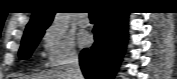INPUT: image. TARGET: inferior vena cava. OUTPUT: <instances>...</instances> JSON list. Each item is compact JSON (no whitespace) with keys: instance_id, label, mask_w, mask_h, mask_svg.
<instances>
[{"instance_id":"1","label":"inferior vena cava","mask_w":177,"mask_h":79,"mask_svg":"<svg viewBox=\"0 0 177 79\" xmlns=\"http://www.w3.org/2000/svg\"><path fill=\"white\" fill-rule=\"evenodd\" d=\"M65 72L68 79H84L80 69L78 55L75 52L69 54Z\"/></svg>"}]
</instances>
